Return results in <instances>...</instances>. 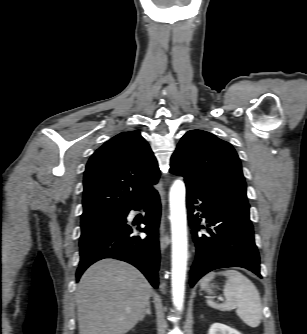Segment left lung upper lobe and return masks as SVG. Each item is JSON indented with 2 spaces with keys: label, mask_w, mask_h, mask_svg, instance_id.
<instances>
[{
  "label": "left lung upper lobe",
  "mask_w": 307,
  "mask_h": 334,
  "mask_svg": "<svg viewBox=\"0 0 307 334\" xmlns=\"http://www.w3.org/2000/svg\"><path fill=\"white\" fill-rule=\"evenodd\" d=\"M170 172L186 185L248 203L240 159L234 148L215 135L188 131L171 157Z\"/></svg>",
  "instance_id": "left-lung-upper-lobe-1"
}]
</instances>
